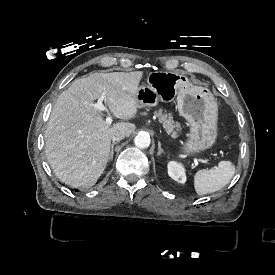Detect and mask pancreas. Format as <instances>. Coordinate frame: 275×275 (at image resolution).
<instances>
[{"instance_id": "pancreas-1", "label": "pancreas", "mask_w": 275, "mask_h": 275, "mask_svg": "<svg viewBox=\"0 0 275 275\" xmlns=\"http://www.w3.org/2000/svg\"><path fill=\"white\" fill-rule=\"evenodd\" d=\"M154 116L163 124V128L167 134L171 135L172 138L178 137L177 131L181 130V124L173 120L171 113H166V110L159 109L158 111H154Z\"/></svg>"}]
</instances>
